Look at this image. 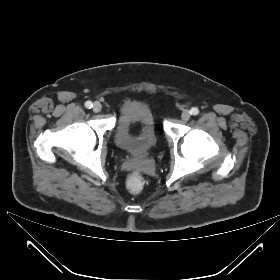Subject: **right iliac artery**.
<instances>
[{
    "label": "right iliac artery",
    "instance_id": "1",
    "mask_svg": "<svg viewBox=\"0 0 280 280\" xmlns=\"http://www.w3.org/2000/svg\"><path fill=\"white\" fill-rule=\"evenodd\" d=\"M85 107L88 108V109H91V108L93 107L92 102H91V101H87V102L85 103Z\"/></svg>",
    "mask_w": 280,
    "mask_h": 280
}]
</instances>
